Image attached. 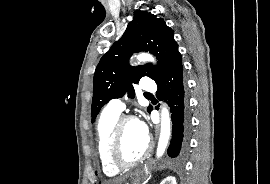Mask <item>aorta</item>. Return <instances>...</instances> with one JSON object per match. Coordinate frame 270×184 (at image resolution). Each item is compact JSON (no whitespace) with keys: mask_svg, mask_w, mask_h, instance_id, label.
I'll return each mask as SVG.
<instances>
[{"mask_svg":"<svg viewBox=\"0 0 270 184\" xmlns=\"http://www.w3.org/2000/svg\"><path fill=\"white\" fill-rule=\"evenodd\" d=\"M137 59L139 61L155 62L153 56L145 53L139 54L137 56ZM170 135H171V125H170L169 111L167 107L164 105L161 110V129L156 152L157 157H161L164 154L170 139Z\"/></svg>","mask_w":270,"mask_h":184,"instance_id":"1","label":"aorta"}]
</instances>
